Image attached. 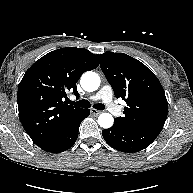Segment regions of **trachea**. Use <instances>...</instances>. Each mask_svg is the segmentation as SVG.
<instances>
[{
  "mask_svg": "<svg viewBox=\"0 0 193 193\" xmlns=\"http://www.w3.org/2000/svg\"><path fill=\"white\" fill-rule=\"evenodd\" d=\"M68 103L75 105V106H78V107H82V108H88L91 106L90 102L88 100H79L77 102L68 100ZM93 107L97 110H104L105 109V105H103L101 103L95 104V105H93Z\"/></svg>",
  "mask_w": 193,
  "mask_h": 193,
  "instance_id": "obj_1",
  "label": "trachea"
}]
</instances>
